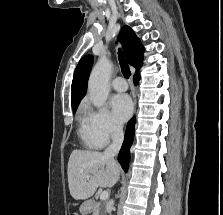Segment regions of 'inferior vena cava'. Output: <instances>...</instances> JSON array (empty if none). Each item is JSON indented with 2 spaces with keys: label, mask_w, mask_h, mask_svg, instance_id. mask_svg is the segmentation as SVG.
<instances>
[{
  "label": "inferior vena cava",
  "mask_w": 223,
  "mask_h": 215,
  "mask_svg": "<svg viewBox=\"0 0 223 215\" xmlns=\"http://www.w3.org/2000/svg\"><path fill=\"white\" fill-rule=\"evenodd\" d=\"M124 133L122 127H115L112 131V143L109 145V147H106L103 155L104 157H112L114 161V155H117L123 141ZM114 201L113 199H110L108 201V207L111 209Z\"/></svg>",
  "instance_id": "1"
}]
</instances>
